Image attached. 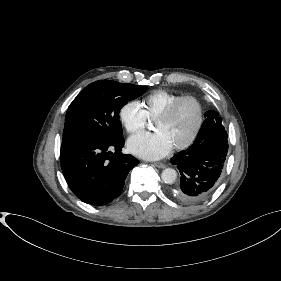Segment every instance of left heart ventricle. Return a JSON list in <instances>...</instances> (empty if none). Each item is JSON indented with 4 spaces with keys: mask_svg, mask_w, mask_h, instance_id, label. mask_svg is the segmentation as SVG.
Masks as SVG:
<instances>
[{
    "mask_svg": "<svg viewBox=\"0 0 281 281\" xmlns=\"http://www.w3.org/2000/svg\"><path fill=\"white\" fill-rule=\"evenodd\" d=\"M196 122V104L192 101H186L183 102L168 119L154 120L153 128L155 131L163 133L172 146H175L191 135Z\"/></svg>",
    "mask_w": 281,
    "mask_h": 281,
    "instance_id": "obj_1",
    "label": "left heart ventricle"
}]
</instances>
